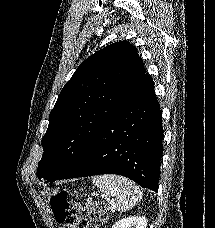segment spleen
<instances>
[{
	"mask_svg": "<svg viewBox=\"0 0 215 228\" xmlns=\"http://www.w3.org/2000/svg\"><path fill=\"white\" fill-rule=\"evenodd\" d=\"M92 178L94 186H97L109 198H113L112 202L119 212L131 210L142 200V192L139 186L128 178L115 176V174L92 176Z\"/></svg>",
	"mask_w": 215,
	"mask_h": 228,
	"instance_id": "1",
	"label": "spleen"
}]
</instances>
